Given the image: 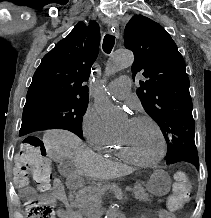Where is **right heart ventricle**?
<instances>
[{"label":"right heart ventricle","mask_w":211,"mask_h":218,"mask_svg":"<svg viewBox=\"0 0 211 218\" xmlns=\"http://www.w3.org/2000/svg\"><path fill=\"white\" fill-rule=\"evenodd\" d=\"M97 150L102 154L114 156L116 158L127 161L129 163H133L121 152L115 137L112 138L109 142H107L103 146H101L100 148H98Z\"/></svg>","instance_id":"obj_1"}]
</instances>
